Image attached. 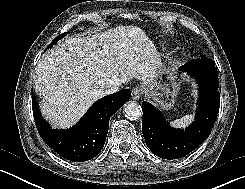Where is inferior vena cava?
<instances>
[{
	"instance_id": "obj_1",
	"label": "inferior vena cava",
	"mask_w": 245,
	"mask_h": 189,
	"mask_svg": "<svg viewBox=\"0 0 245 189\" xmlns=\"http://www.w3.org/2000/svg\"><path fill=\"white\" fill-rule=\"evenodd\" d=\"M121 84H114L103 91V94L108 95L117 92Z\"/></svg>"
}]
</instances>
